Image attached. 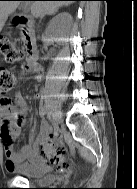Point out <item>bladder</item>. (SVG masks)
<instances>
[{
	"label": "bladder",
	"mask_w": 137,
	"mask_h": 189,
	"mask_svg": "<svg viewBox=\"0 0 137 189\" xmlns=\"http://www.w3.org/2000/svg\"><path fill=\"white\" fill-rule=\"evenodd\" d=\"M25 177L33 180H40L45 184H53L56 182L55 176L46 169L35 168L25 174Z\"/></svg>",
	"instance_id": "bladder-1"
}]
</instances>
